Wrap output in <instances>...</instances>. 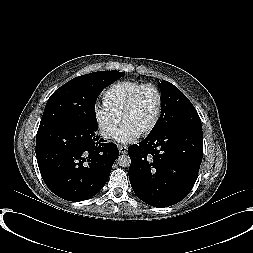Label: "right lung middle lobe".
Listing matches in <instances>:
<instances>
[{
	"instance_id": "1",
	"label": "right lung middle lobe",
	"mask_w": 253,
	"mask_h": 253,
	"mask_svg": "<svg viewBox=\"0 0 253 253\" xmlns=\"http://www.w3.org/2000/svg\"><path fill=\"white\" fill-rule=\"evenodd\" d=\"M124 74L119 71H98L65 83L47 101L38 133L75 123L98 128L95 114L97 97L105 87Z\"/></svg>"
}]
</instances>
